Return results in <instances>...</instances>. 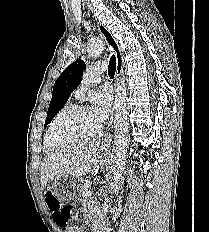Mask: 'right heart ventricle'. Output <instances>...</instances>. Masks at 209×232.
<instances>
[{"mask_svg": "<svg viewBox=\"0 0 209 232\" xmlns=\"http://www.w3.org/2000/svg\"><path fill=\"white\" fill-rule=\"evenodd\" d=\"M72 106H73V104H67V105H65V106L57 113V115L55 116V118L53 119V121H55V120L60 116V114H62L66 109H68V108H70V107H72ZM53 121H52V122H53ZM44 148H45V150H46L47 152H53V151H55V150H57V149L59 148V147H56V146L52 145V144L49 142L47 133H46V136H45Z\"/></svg>", "mask_w": 209, "mask_h": 232, "instance_id": "e07e8e85", "label": "right heart ventricle"}]
</instances>
